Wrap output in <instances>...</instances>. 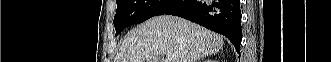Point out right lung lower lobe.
<instances>
[{
	"instance_id": "obj_1",
	"label": "right lung lower lobe",
	"mask_w": 331,
	"mask_h": 62,
	"mask_svg": "<svg viewBox=\"0 0 331 62\" xmlns=\"http://www.w3.org/2000/svg\"><path fill=\"white\" fill-rule=\"evenodd\" d=\"M164 14L183 17L226 36L240 53V0H180Z\"/></svg>"
}]
</instances>
